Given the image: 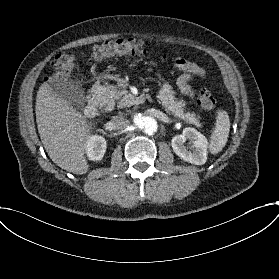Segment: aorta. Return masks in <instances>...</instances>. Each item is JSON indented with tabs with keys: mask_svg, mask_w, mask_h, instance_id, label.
I'll use <instances>...</instances> for the list:
<instances>
[{
	"mask_svg": "<svg viewBox=\"0 0 279 279\" xmlns=\"http://www.w3.org/2000/svg\"><path fill=\"white\" fill-rule=\"evenodd\" d=\"M134 123L139 129H141L143 132L149 135L153 134L158 129L156 120L150 116L136 114L134 116Z\"/></svg>",
	"mask_w": 279,
	"mask_h": 279,
	"instance_id": "obj_1",
	"label": "aorta"
}]
</instances>
